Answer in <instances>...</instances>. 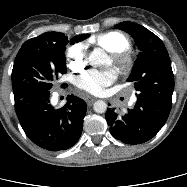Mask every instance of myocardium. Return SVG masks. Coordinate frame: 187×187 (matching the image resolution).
<instances>
[{"label": "myocardium", "mask_w": 187, "mask_h": 187, "mask_svg": "<svg viewBox=\"0 0 187 187\" xmlns=\"http://www.w3.org/2000/svg\"><path fill=\"white\" fill-rule=\"evenodd\" d=\"M112 61L123 72H127L133 65V59L128 52L112 53Z\"/></svg>", "instance_id": "obj_1"}]
</instances>
